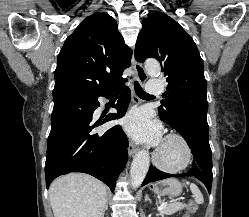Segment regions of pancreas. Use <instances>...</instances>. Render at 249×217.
<instances>
[{
  "mask_svg": "<svg viewBox=\"0 0 249 217\" xmlns=\"http://www.w3.org/2000/svg\"><path fill=\"white\" fill-rule=\"evenodd\" d=\"M185 206L186 205L184 203H181V202L170 203V204H167V206L160 211V214L161 215H164V214L172 215V214L178 212L179 210L185 208Z\"/></svg>",
  "mask_w": 249,
  "mask_h": 217,
  "instance_id": "1",
  "label": "pancreas"
}]
</instances>
